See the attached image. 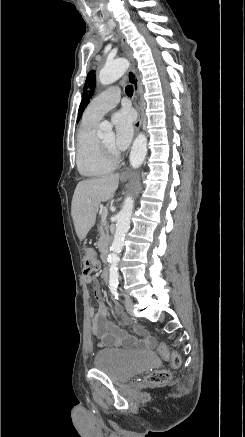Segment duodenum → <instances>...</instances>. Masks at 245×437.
<instances>
[{"mask_svg":"<svg viewBox=\"0 0 245 437\" xmlns=\"http://www.w3.org/2000/svg\"><path fill=\"white\" fill-rule=\"evenodd\" d=\"M101 258L104 262L108 261V250L105 247L101 249ZM102 276L105 280L108 279V271L106 269L103 270Z\"/></svg>","mask_w":245,"mask_h":437,"instance_id":"410a0bca","label":"duodenum"}]
</instances>
